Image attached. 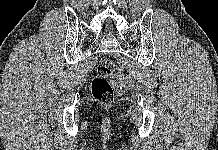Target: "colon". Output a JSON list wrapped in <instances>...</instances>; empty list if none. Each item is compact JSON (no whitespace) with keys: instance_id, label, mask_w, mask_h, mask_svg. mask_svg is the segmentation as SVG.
Wrapping results in <instances>:
<instances>
[{"instance_id":"obj_1","label":"colon","mask_w":218,"mask_h":150,"mask_svg":"<svg viewBox=\"0 0 218 150\" xmlns=\"http://www.w3.org/2000/svg\"><path fill=\"white\" fill-rule=\"evenodd\" d=\"M114 71V64L109 58L101 59L96 68V75L91 82V92L95 100L109 104L114 99V91L109 78Z\"/></svg>"}]
</instances>
